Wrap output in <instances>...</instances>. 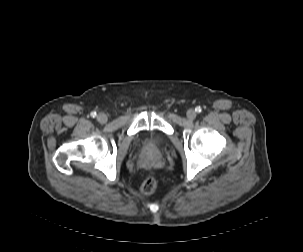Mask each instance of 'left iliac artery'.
Returning a JSON list of instances; mask_svg holds the SVG:
<instances>
[{
    "label": "left iliac artery",
    "instance_id": "obj_1",
    "mask_svg": "<svg viewBox=\"0 0 303 252\" xmlns=\"http://www.w3.org/2000/svg\"><path fill=\"white\" fill-rule=\"evenodd\" d=\"M195 111H196L197 113H200V112L202 111V109H201V107H196V108H195Z\"/></svg>",
    "mask_w": 303,
    "mask_h": 252
}]
</instances>
